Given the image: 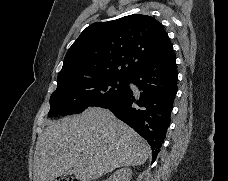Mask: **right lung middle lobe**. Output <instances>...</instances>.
<instances>
[{
  "label": "right lung middle lobe",
  "instance_id": "obj_1",
  "mask_svg": "<svg viewBox=\"0 0 228 181\" xmlns=\"http://www.w3.org/2000/svg\"><path fill=\"white\" fill-rule=\"evenodd\" d=\"M129 78L112 74L60 85L50 97L48 116L78 114L89 106L110 104L124 94Z\"/></svg>",
  "mask_w": 228,
  "mask_h": 181
}]
</instances>
